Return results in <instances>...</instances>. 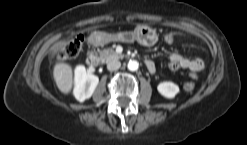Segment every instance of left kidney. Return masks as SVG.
I'll return each instance as SVG.
<instances>
[{"mask_svg": "<svg viewBox=\"0 0 247 145\" xmlns=\"http://www.w3.org/2000/svg\"><path fill=\"white\" fill-rule=\"evenodd\" d=\"M158 92L165 98L172 99L174 98L179 92L180 89L178 85L173 82H161L157 86Z\"/></svg>", "mask_w": 247, "mask_h": 145, "instance_id": "5707ae66", "label": "left kidney"}]
</instances>
